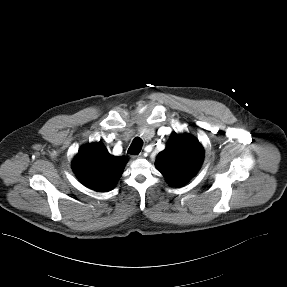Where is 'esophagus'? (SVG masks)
<instances>
[{"label": "esophagus", "instance_id": "obj_1", "mask_svg": "<svg viewBox=\"0 0 287 287\" xmlns=\"http://www.w3.org/2000/svg\"><path fill=\"white\" fill-rule=\"evenodd\" d=\"M133 157H134V158H137V159H141V158H143L144 156H143L142 153H140V154L135 155V156H133Z\"/></svg>", "mask_w": 287, "mask_h": 287}]
</instances>
